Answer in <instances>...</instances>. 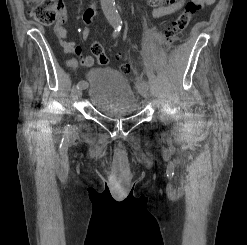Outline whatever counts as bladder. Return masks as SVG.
I'll return each instance as SVG.
<instances>
[{"mask_svg": "<svg viewBox=\"0 0 247 245\" xmlns=\"http://www.w3.org/2000/svg\"><path fill=\"white\" fill-rule=\"evenodd\" d=\"M88 98L102 114L128 116L138 110V98L129 81L119 71L94 67L88 72Z\"/></svg>", "mask_w": 247, "mask_h": 245, "instance_id": "1", "label": "bladder"}]
</instances>
